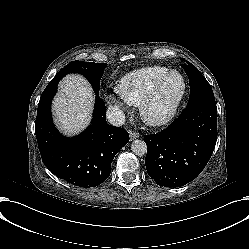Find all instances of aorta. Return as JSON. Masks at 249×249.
Returning <instances> with one entry per match:
<instances>
[{
    "instance_id": "obj_1",
    "label": "aorta",
    "mask_w": 249,
    "mask_h": 249,
    "mask_svg": "<svg viewBox=\"0 0 249 249\" xmlns=\"http://www.w3.org/2000/svg\"><path fill=\"white\" fill-rule=\"evenodd\" d=\"M131 150L137 156H144L147 153V145L143 140H133L131 143Z\"/></svg>"
}]
</instances>
